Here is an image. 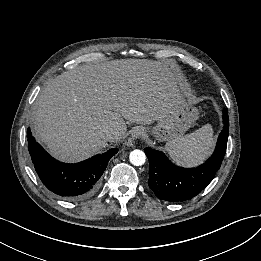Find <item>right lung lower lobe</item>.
Returning <instances> with one entry per match:
<instances>
[{
	"instance_id": "right-lung-lower-lobe-1",
	"label": "right lung lower lobe",
	"mask_w": 261,
	"mask_h": 261,
	"mask_svg": "<svg viewBox=\"0 0 261 261\" xmlns=\"http://www.w3.org/2000/svg\"><path fill=\"white\" fill-rule=\"evenodd\" d=\"M27 133L29 153L42 183L70 201L85 199L96 191L110 158L118 152L117 148H113L85 161L66 164L52 158L35 141L30 129Z\"/></svg>"
}]
</instances>
